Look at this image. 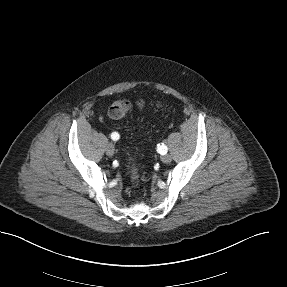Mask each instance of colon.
Returning a JSON list of instances; mask_svg holds the SVG:
<instances>
[{"mask_svg":"<svg viewBox=\"0 0 287 287\" xmlns=\"http://www.w3.org/2000/svg\"><path fill=\"white\" fill-rule=\"evenodd\" d=\"M139 107L144 106V101L139 99L135 102ZM132 103L128 99L121 98L112 103L109 108V115L113 119H121L126 116V114L131 109ZM128 173L132 181L137 182L139 179L138 170L133 158L128 161Z\"/></svg>","mask_w":287,"mask_h":287,"instance_id":"colon-1","label":"colon"}]
</instances>
